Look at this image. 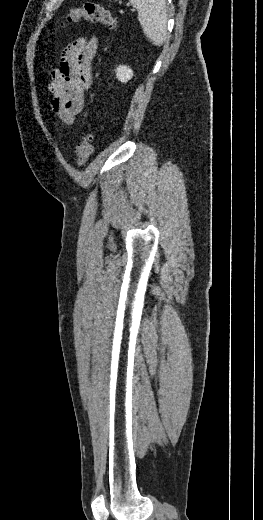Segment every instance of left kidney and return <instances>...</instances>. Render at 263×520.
<instances>
[{"instance_id": "5707ae66", "label": "left kidney", "mask_w": 263, "mask_h": 520, "mask_svg": "<svg viewBox=\"0 0 263 520\" xmlns=\"http://www.w3.org/2000/svg\"><path fill=\"white\" fill-rule=\"evenodd\" d=\"M115 71L117 79L123 83L128 82L133 77V71L128 66L120 65Z\"/></svg>"}]
</instances>
